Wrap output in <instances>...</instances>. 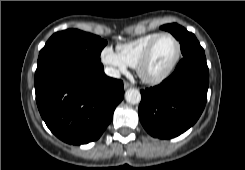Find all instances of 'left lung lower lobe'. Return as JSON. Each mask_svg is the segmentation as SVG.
<instances>
[{"label": "left lung lower lobe", "mask_w": 245, "mask_h": 170, "mask_svg": "<svg viewBox=\"0 0 245 170\" xmlns=\"http://www.w3.org/2000/svg\"><path fill=\"white\" fill-rule=\"evenodd\" d=\"M206 60L184 57L160 85L141 91L139 119L153 137L169 139L193 126L207 101Z\"/></svg>", "instance_id": "1"}]
</instances>
